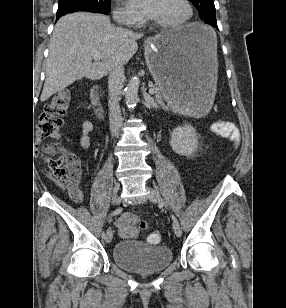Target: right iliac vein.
Listing matches in <instances>:
<instances>
[{
	"label": "right iliac vein",
	"instance_id": "right-iliac-vein-1",
	"mask_svg": "<svg viewBox=\"0 0 286 308\" xmlns=\"http://www.w3.org/2000/svg\"><path fill=\"white\" fill-rule=\"evenodd\" d=\"M119 183L117 181L114 182V187H113V194H112V203H117V194H118V191H119ZM112 237H113V234H112V231L110 229L107 230V233H106V237H105V241L106 243H110L112 241Z\"/></svg>",
	"mask_w": 286,
	"mask_h": 308
}]
</instances>
